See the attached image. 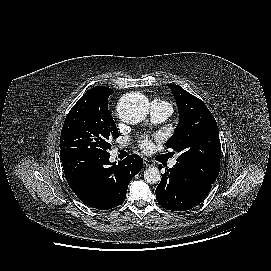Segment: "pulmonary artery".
I'll return each instance as SVG.
<instances>
[{"label": "pulmonary artery", "instance_id": "e3ab8cb5", "mask_svg": "<svg viewBox=\"0 0 271 271\" xmlns=\"http://www.w3.org/2000/svg\"><path fill=\"white\" fill-rule=\"evenodd\" d=\"M172 108L167 102L155 100L151 104V117L154 122H162L171 114ZM177 160L173 159L169 166L173 167Z\"/></svg>", "mask_w": 271, "mask_h": 271}]
</instances>
